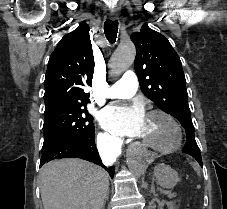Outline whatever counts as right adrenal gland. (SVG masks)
<instances>
[{
  "label": "right adrenal gland",
  "instance_id": "right-adrenal-gland-1",
  "mask_svg": "<svg viewBox=\"0 0 227 209\" xmlns=\"http://www.w3.org/2000/svg\"><path fill=\"white\" fill-rule=\"evenodd\" d=\"M106 201H108V195H107V197H105L103 205H106ZM103 209H104V207H103Z\"/></svg>",
  "mask_w": 227,
  "mask_h": 209
}]
</instances>
